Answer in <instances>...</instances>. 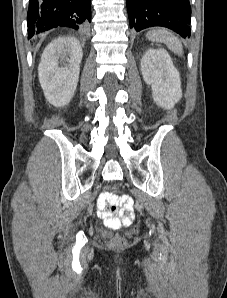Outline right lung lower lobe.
I'll list each match as a JSON object with an SVG mask.
<instances>
[{
	"label": "right lung lower lobe",
	"instance_id": "1",
	"mask_svg": "<svg viewBox=\"0 0 227 298\" xmlns=\"http://www.w3.org/2000/svg\"><path fill=\"white\" fill-rule=\"evenodd\" d=\"M90 21V0H30L28 38L54 27L83 29Z\"/></svg>",
	"mask_w": 227,
	"mask_h": 298
}]
</instances>
